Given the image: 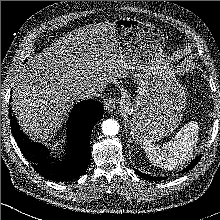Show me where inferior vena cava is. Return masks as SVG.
<instances>
[{
    "mask_svg": "<svg viewBox=\"0 0 220 220\" xmlns=\"http://www.w3.org/2000/svg\"><path fill=\"white\" fill-rule=\"evenodd\" d=\"M102 91H103V89L101 86H92V87L85 89L80 94V98L81 99H88V98L98 97L101 95Z\"/></svg>",
    "mask_w": 220,
    "mask_h": 220,
    "instance_id": "602c4592",
    "label": "inferior vena cava"
}]
</instances>
